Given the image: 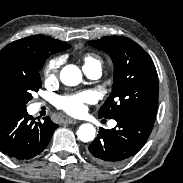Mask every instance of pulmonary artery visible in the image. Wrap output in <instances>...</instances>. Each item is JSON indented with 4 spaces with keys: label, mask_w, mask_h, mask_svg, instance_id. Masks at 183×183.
<instances>
[{
    "label": "pulmonary artery",
    "mask_w": 183,
    "mask_h": 183,
    "mask_svg": "<svg viewBox=\"0 0 183 183\" xmlns=\"http://www.w3.org/2000/svg\"><path fill=\"white\" fill-rule=\"evenodd\" d=\"M84 72L90 79H98L102 75V66L101 64H95L93 66L84 67ZM40 104H36L35 107L38 109ZM114 126V124H111Z\"/></svg>",
    "instance_id": "1"
}]
</instances>
